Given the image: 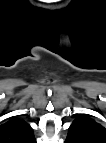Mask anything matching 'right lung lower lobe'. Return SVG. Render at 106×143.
<instances>
[{
  "mask_svg": "<svg viewBox=\"0 0 106 143\" xmlns=\"http://www.w3.org/2000/svg\"><path fill=\"white\" fill-rule=\"evenodd\" d=\"M29 143H36L35 138H34V139H32V141H30Z\"/></svg>",
  "mask_w": 106,
  "mask_h": 143,
  "instance_id": "98d812e1",
  "label": "right lung lower lobe"
}]
</instances>
